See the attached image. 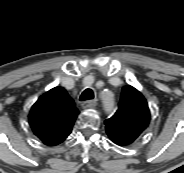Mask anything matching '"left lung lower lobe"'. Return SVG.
Masks as SVG:
<instances>
[{"label":"left lung lower lobe","instance_id":"obj_1","mask_svg":"<svg viewBox=\"0 0 184 173\" xmlns=\"http://www.w3.org/2000/svg\"><path fill=\"white\" fill-rule=\"evenodd\" d=\"M110 140L115 143L116 145H119V146H126L122 141H120L119 139L117 138H114V137H109Z\"/></svg>","mask_w":184,"mask_h":173}]
</instances>
